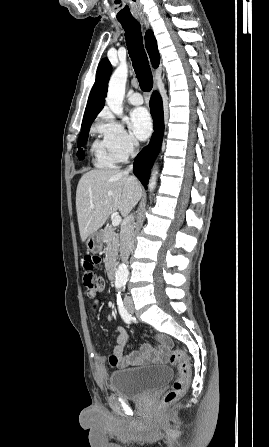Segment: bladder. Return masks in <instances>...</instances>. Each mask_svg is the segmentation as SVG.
Listing matches in <instances>:
<instances>
[{
	"label": "bladder",
	"instance_id": "31cf9c89",
	"mask_svg": "<svg viewBox=\"0 0 269 447\" xmlns=\"http://www.w3.org/2000/svg\"><path fill=\"white\" fill-rule=\"evenodd\" d=\"M172 377L169 366H145L111 373L109 385L111 392L122 398H140L171 381Z\"/></svg>",
	"mask_w": 269,
	"mask_h": 447
}]
</instances>
